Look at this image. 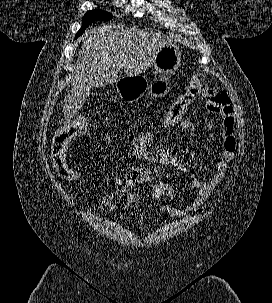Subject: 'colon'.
<instances>
[{"label":"colon","mask_w":272,"mask_h":303,"mask_svg":"<svg viewBox=\"0 0 272 303\" xmlns=\"http://www.w3.org/2000/svg\"><path fill=\"white\" fill-rule=\"evenodd\" d=\"M203 75L195 74L187 87L176 97L163 113L156 126L145 131L137 132L128 137L123 147L126 149L155 148L163 137L177 131L190 128L188 111L196 94L203 88ZM88 118L77 117L70 120L63 128L58 130L52 138L51 163L58 176L67 181L80 178V172L71 167L66 159V149L75 138L85 135L91 130ZM162 182L153 186V192L158 190ZM137 197L127 191L116 190L106 194L100 204L102 211L126 209L137 203Z\"/></svg>","instance_id":"5ec220e1"}]
</instances>
